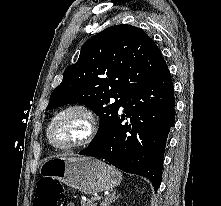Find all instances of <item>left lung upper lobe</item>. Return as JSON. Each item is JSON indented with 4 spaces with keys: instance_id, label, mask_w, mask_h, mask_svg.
I'll return each mask as SVG.
<instances>
[{
    "instance_id": "obj_1",
    "label": "left lung upper lobe",
    "mask_w": 221,
    "mask_h": 206,
    "mask_svg": "<svg viewBox=\"0 0 221 206\" xmlns=\"http://www.w3.org/2000/svg\"><path fill=\"white\" fill-rule=\"evenodd\" d=\"M167 69L159 48L143 30L127 24L109 27L83 44L78 61L65 69L46 110L69 103L90 108L100 117L91 145L113 126L119 107Z\"/></svg>"
}]
</instances>
